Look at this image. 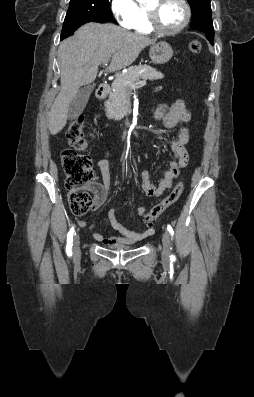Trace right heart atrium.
Segmentation results:
<instances>
[{
	"label": "right heart atrium",
	"instance_id": "1",
	"mask_svg": "<svg viewBox=\"0 0 254 397\" xmlns=\"http://www.w3.org/2000/svg\"><path fill=\"white\" fill-rule=\"evenodd\" d=\"M111 10L117 22L124 28L135 26L140 16V8L135 0H111Z\"/></svg>",
	"mask_w": 254,
	"mask_h": 397
}]
</instances>
